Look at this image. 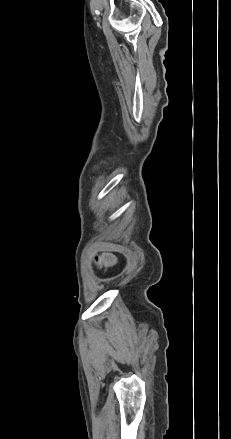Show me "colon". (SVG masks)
Instances as JSON below:
<instances>
[{"label": "colon", "instance_id": "colon-1", "mask_svg": "<svg viewBox=\"0 0 231 439\" xmlns=\"http://www.w3.org/2000/svg\"><path fill=\"white\" fill-rule=\"evenodd\" d=\"M97 261L104 266H108L112 263V259L106 255H101L97 257Z\"/></svg>", "mask_w": 231, "mask_h": 439}]
</instances>
